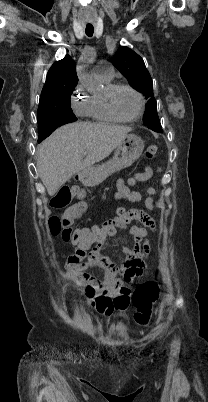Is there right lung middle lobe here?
Listing matches in <instances>:
<instances>
[{
  "instance_id": "obj_1",
  "label": "right lung middle lobe",
  "mask_w": 208,
  "mask_h": 402,
  "mask_svg": "<svg viewBox=\"0 0 208 402\" xmlns=\"http://www.w3.org/2000/svg\"><path fill=\"white\" fill-rule=\"evenodd\" d=\"M75 87L51 91L40 97L37 117L38 123L46 120H58L63 123L76 121L77 118L70 108V96ZM46 136L39 131L38 142Z\"/></svg>"
}]
</instances>
